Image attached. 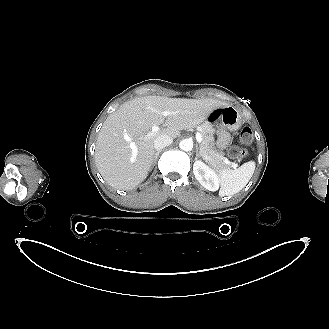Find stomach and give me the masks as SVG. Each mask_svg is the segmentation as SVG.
I'll use <instances>...</instances> for the list:
<instances>
[{
    "mask_svg": "<svg viewBox=\"0 0 329 329\" xmlns=\"http://www.w3.org/2000/svg\"><path fill=\"white\" fill-rule=\"evenodd\" d=\"M206 120L208 122L219 121L230 131H236L242 125V117L239 111L230 105L215 108Z\"/></svg>",
    "mask_w": 329,
    "mask_h": 329,
    "instance_id": "0dacf381",
    "label": "stomach"
}]
</instances>
